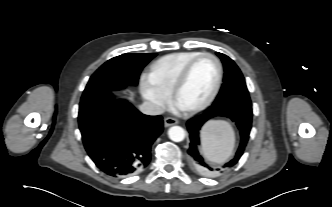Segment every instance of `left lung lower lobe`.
Masks as SVG:
<instances>
[{
    "instance_id": "0a47b994",
    "label": "left lung lower lobe",
    "mask_w": 332,
    "mask_h": 207,
    "mask_svg": "<svg viewBox=\"0 0 332 207\" xmlns=\"http://www.w3.org/2000/svg\"><path fill=\"white\" fill-rule=\"evenodd\" d=\"M215 116H225L236 122L240 130V144L234 157L225 163L222 167H211L200 155V137L199 131L202 125ZM252 103L246 100H228L213 104L203 114L190 119L187 122L189 132V162L199 173L203 175H216L234 166L244 153L249 140V134L252 127Z\"/></svg>"
}]
</instances>
